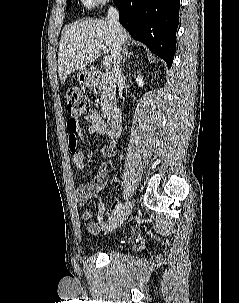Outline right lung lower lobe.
I'll list each match as a JSON object with an SVG mask.
<instances>
[{
    "instance_id": "1",
    "label": "right lung lower lobe",
    "mask_w": 239,
    "mask_h": 303,
    "mask_svg": "<svg viewBox=\"0 0 239 303\" xmlns=\"http://www.w3.org/2000/svg\"><path fill=\"white\" fill-rule=\"evenodd\" d=\"M120 23L171 67L179 23L180 0H114Z\"/></svg>"
}]
</instances>
